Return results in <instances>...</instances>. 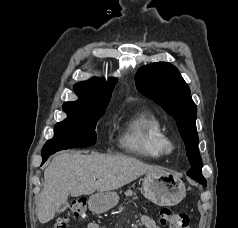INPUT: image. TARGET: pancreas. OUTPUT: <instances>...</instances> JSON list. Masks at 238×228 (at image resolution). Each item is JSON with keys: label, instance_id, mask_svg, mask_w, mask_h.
<instances>
[{"label": "pancreas", "instance_id": "1", "mask_svg": "<svg viewBox=\"0 0 238 228\" xmlns=\"http://www.w3.org/2000/svg\"><path fill=\"white\" fill-rule=\"evenodd\" d=\"M132 195H135V193L132 190H127L125 192V196L126 197H129V196H132ZM134 199H137V197H134Z\"/></svg>", "mask_w": 238, "mask_h": 228}]
</instances>
